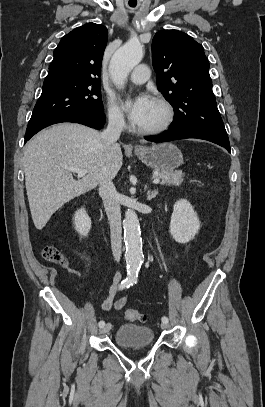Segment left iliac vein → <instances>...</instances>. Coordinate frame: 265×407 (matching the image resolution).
I'll use <instances>...</instances> for the list:
<instances>
[{"label": "left iliac vein", "mask_w": 265, "mask_h": 407, "mask_svg": "<svg viewBox=\"0 0 265 407\" xmlns=\"http://www.w3.org/2000/svg\"><path fill=\"white\" fill-rule=\"evenodd\" d=\"M168 327H169V326H168V323H164V322H163V323L161 324V328L164 329V330H165V329H168Z\"/></svg>", "instance_id": "1"}]
</instances>
